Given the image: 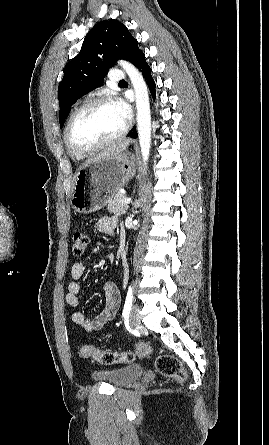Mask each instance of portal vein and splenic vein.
<instances>
[{
	"instance_id": "1",
	"label": "portal vein and splenic vein",
	"mask_w": 269,
	"mask_h": 445,
	"mask_svg": "<svg viewBox=\"0 0 269 445\" xmlns=\"http://www.w3.org/2000/svg\"><path fill=\"white\" fill-rule=\"evenodd\" d=\"M123 202L125 204H129L131 202V199L130 198H124Z\"/></svg>"
}]
</instances>
